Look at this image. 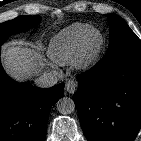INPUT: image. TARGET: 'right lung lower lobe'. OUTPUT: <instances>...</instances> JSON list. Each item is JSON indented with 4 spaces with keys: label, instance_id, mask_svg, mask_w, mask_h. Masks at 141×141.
Here are the masks:
<instances>
[{
    "label": "right lung lower lobe",
    "instance_id": "1",
    "mask_svg": "<svg viewBox=\"0 0 141 141\" xmlns=\"http://www.w3.org/2000/svg\"><path fill=\"white\" fill-rule=\"evenodd\" d=\"M63 88V83L37 88L15 82L0 63V141H44L49 111Z\"/></svg>",
    "mask_w": 141,
    "mask_h": 141
}]
</instances>
